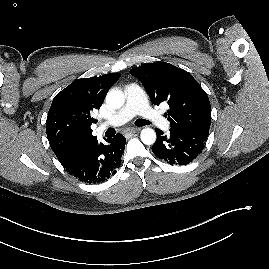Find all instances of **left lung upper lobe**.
Instances as JSON below:
<instances>
[{
	"mask_svg": "<svg viewBox=\"0 0 269 269\" xmlns=\"http://www.w3.org/2000/svg\"><path fill=\"white\" fill-rule=\"evenodd\" d=\"M130 73L144 85L153 104L168 103L170 129L209 130V98L190 73L166 62L146 63Z\"/></svg>",
	"mask_w": 269,
	"mask_h": 269,
	"instance_id": "left-lung-upper-lobe-1",
	"label": "left lung upper lobe"
}]
</instances>
